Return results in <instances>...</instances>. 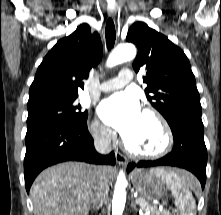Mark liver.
I'll return each mask as SVG.
<instances>
[{
    "label": "liver",
    "mask_w": 221,
    "mask_h": 215,
    "mask_svg": "<svg viewBox=\"0 0 221 215\" xmlns=\"http://www.w3.org/2000/svg\"><path fill=\"white\" fill-rule=\"evenodd\" d=\"M111 166L102 167L108 184ZM95 167L66 162L47 168L35 179L30 196L34 215H87L95 188Z\"/></svg>",
    "instance_id": "obj_1"
}]
</instances>
